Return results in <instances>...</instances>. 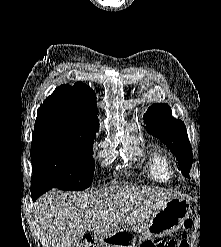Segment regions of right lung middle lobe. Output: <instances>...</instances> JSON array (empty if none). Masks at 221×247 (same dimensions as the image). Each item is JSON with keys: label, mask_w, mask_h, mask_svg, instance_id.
Wrapping results in <instances>:
<instances>
[{"label": "right lung middle lobe", "mask_w": 221, "mask_h": 247, "mask_svg": "<svg viewBox=\"0 0 221 247\" xmlns=\"http://www.w3.org/2000/svg\"><path fill=\"white\" fill-rule=\"evenodd\" d=\"M94 139L65 130L34 129L32 178L61 190L88 188L95 169L92 157Z\"/></svg>", "instance_id": "dd1d6c3e"}]
</instances>
